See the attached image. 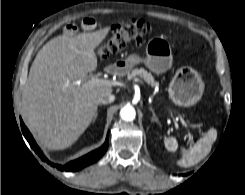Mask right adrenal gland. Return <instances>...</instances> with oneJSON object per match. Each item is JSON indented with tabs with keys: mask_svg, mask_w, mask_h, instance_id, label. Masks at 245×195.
I'll return each mask as SVG.
<instances>
[{
	"mask_svg": "<svg viewBox=\"0 0 245 195\" xmlns=\"http://www.w3.org/2000/svg\"><path fill=\"white\" fill-rule=\"evenodd\" d=\"M97 115H98V112H96V114H95V117H94V120H93V121H95V119L97 118Z\"/></svg>",
	"mask_w": 245,
	"mask_h": 195,
	"instance_id": "2a0ac1e0",
	"label": "right adrenal gland"
}]
</instances>
